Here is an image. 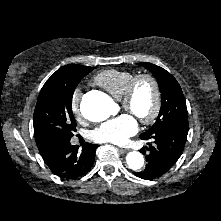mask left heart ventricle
<instances>
[{"label": "left heart ventricle", "instance_id": "obj_1", "mask_svg": "<svg viewBox=\"0 0 221 221\" xmlns=\"http://www.w3.org/2000/svg\"><path fill=\"white\" fill-rule=\"evenodd\" d=\"M153 102L152 86L147 81H142L136 86L130 108L123 109L136 117L147 116L152 110Z\"/></svg>", "mask_w": 221, "mask_h": 221}]
</instances>
